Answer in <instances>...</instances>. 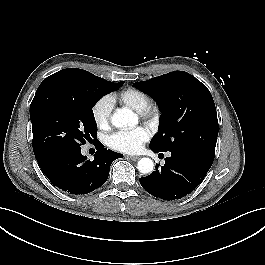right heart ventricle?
<instances>
[{"label":"right heart ventricle","mask_w":265,"mask_h":265,"mask_svg":"<svg viewBox=\"0 0 265 265\" xmlns=\"http://www.w3.org/2000/svg\"><path fill=\"white\" fill-rule=\"evenodd\" d=\"M119 101L124 105L141 112L150 104L149 95L137 88H129L119 94Z\"/></svg>","instance_id":"right-heart-ventricle-1"}]
</instances>
